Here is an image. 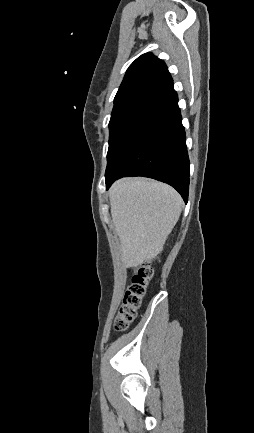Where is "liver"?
Wrapping results in <instances>:
<instances>
[{"mask_svg": "<svg viewBox=\"0 0 254 433\" xmlns=\"http://www.w3.org/2000/svg\"><path fill=\"white\" fill-rule=\"evenodd\" d=\"M109 197L123 264L137 267L155 258L181 214L180 195L161 182L128 178L117 181Z\"/></svg>", "mask_w": 254, "mask_h": 433, "instance_id": "6515ba94", "label": "liver"}]
</instances>
